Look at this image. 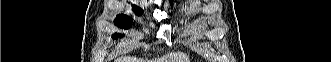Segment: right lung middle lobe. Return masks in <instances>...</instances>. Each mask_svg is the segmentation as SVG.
Returning a JSON list of instances; mask_svg holds the SVG:
<instances>
[{
	"mask_svg": "<svg viewBox=\"0 0 331 62\" xmlns=\"http://www.w3.org/2000/svg\"><path fill=\"white\" fill-rule=\"evenodd\" d=\"M133 11L136 15L140 16L142 13H143V10L134 5L133 6ZM132 21L133 19L130 17V16H127V15H124V14H119L116 19L114 20V24L117 26V27H120V28H124V29H129L131 24H132ZM123 35L122 34H117L115 33L112 38L113 39H116L117 37H122Z\"/></svg>",
	"mask_w": 331,
	"mask_h": 62,
	"instance_id": "right-lung-middle-lobe-1",
	"label": "right lung middle lobe"
}]
</instances>
